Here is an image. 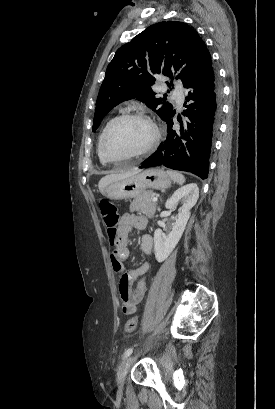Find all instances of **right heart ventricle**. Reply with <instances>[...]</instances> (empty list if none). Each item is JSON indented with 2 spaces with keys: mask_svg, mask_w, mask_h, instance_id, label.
<instances>
[{
  "mask_svg": "<svg viewBox=\"0 0 275 409\" xmlns=\"http://www.w3.org/2000/svg\"><path fill=\"white\" fill-rule=\"evenodd\" d=\"M112 121H113V120H110L109 122L106 123V125L104 126V128L102 129V131H101V133H100V135H99L98 145H97L99 157H101V156H100V146H101L102 138H103V136H104V134H105V131L107 130L108 126L110 125V123H111Z\"/></svg>",
  "mask_w": 275,
  "mask_h": 409,
  "instance_id": "right-heart-ventricle-1",
  "label": "right heart ventricle"
}]
</instances>
